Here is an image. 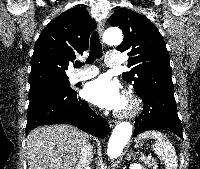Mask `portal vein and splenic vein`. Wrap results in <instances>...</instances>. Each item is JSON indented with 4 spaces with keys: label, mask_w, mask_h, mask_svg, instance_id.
Here are the masks:
<instances>
[{
    "label": "portal vein and splenic vein",
    "mask_w": 200,
    "mask_h": 169,
    "mask_svg": "<svg viewBox=\"0 0 200 169\" xmlns=\"http://www.w3.org/2000/svg\"><path fill=\"white\" fill-rule=\"evenodd\" d=\"M141 159H151V156H142Z\"/></svg>",
    "instance_id": "portal-vein-and-splenic-vein-1"
}]
</instances>
